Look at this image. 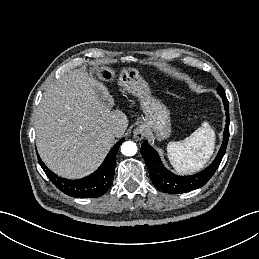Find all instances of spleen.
Instances as JSON below:
<instances>
[{
    "instance_id": "1",
    "label": "spleen",
    "mask_w": 259,
    "mask_h": 259,
    "mask_svg": "<svg viewBox=\"0 0 259 259\" xmlns=\"http://www.w3.org/2000/svg\"><path fill=\"white\" fill-rule=\"evenodd\" d=\"M214 147L215 132L205 121L184 140L168 143V159L178 173L196 172L207 163Z\"/></svg>"
}]
</instances>
